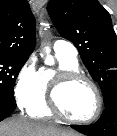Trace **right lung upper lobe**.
I'll return each mask as SVG.
<instances>
[{
  "label": "right lung upper lobe",
  "mask_w": 117,
  "mask_h": 136,
  "mask_svg": "<svg viewBox=\"0 0 117 136\" xmlns=\"http://www.w3.org/2000/svg\"><path fill=\"white\" fill-rule=\"evenodd\" d=\"M35 43V18L27 0H0V55L29 58Z\"/></svg>",
  "instance_id": "obj_1"
}]
</instances>
